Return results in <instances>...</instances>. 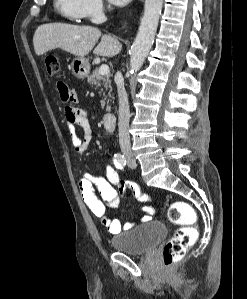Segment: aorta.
Returning a JSON list of instances; mask_svg holds the SVG:
<instances>
[{
  "instance_id": "1",
  "label": "aorta",
  "mask_w": 247,
  "mask_h": 299,
  "mask_svg": "<svg viewBox=\"0 0 247 299\" xmlns=\"http://www.w3.org/2000/svg\"><path fill=\"white\" fill-rule=\"evenodd\" d=\"M163 0H145L144 14L130 51V71H138L155 39Z\"/></svg>"
}]
</instances>
